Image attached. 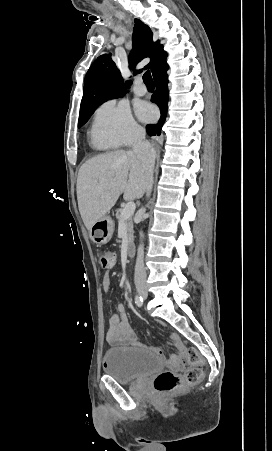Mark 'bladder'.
Returning a JSON list of instances; mask_svg holds the SVG:
<instances>
[{
	"label": "bladder",
	"mask_w": 272,
	"mask_h": 451,
	"mask_svg": "<svg viewBox=\"0 0 272 451\" xmlns=\"http://www.w3.org/2000/svg\"><path fill=\"white\" fill-rule=\"evenodd\" d=\"M105 373L121 384H130L148 377L163 366L158 354L133 348L114 347L104 353Z\"/></svg>",
	"instance_id": "31cf9c89"
}]
</instances>
